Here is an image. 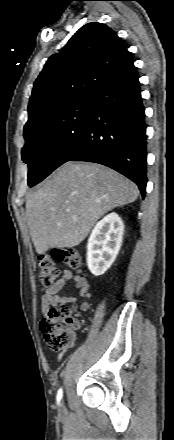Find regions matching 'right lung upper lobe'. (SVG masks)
I'll use <instances>...</instances> for the list:
<instances>
[{
    "instance_id": "1",
    "label": "right lung upper lobe",
    "mask_w": 174,
    "mask_h": 440,
    "mask_svg": "<svg viewBox=\"0 0 174 440\" xmlns=\"http://www.w3.org/2000/svg\"><path fill=\"white\" fill-rule=\"evenodd\" d=\"M132 65L130 53L111 28L97 22L84 25L60 53L49 57L36 79L24 129L76 100L92 95L97 88Z\"/></svg>"
}]
</instances>
